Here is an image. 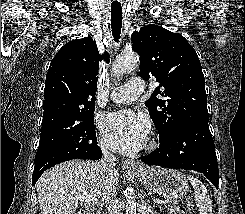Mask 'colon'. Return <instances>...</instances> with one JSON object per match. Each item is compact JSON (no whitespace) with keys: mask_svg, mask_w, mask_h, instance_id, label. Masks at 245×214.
Segmentation results:
<instances>
[{"mask_svg":"<svg viewBox=\"0 0 245 214\" xmlns=\"http://www.w3.org/2000/svg\"><path fill=\"white\" fill-rule=\"evenodd\" d=\"M83 214V213H80ZM174 214H191L184 206H177L174 210Z\"/></svg>","mask_w":245,"mask_h":214,"instance_id":"obj_1","label":"colon"}]
</instances>
